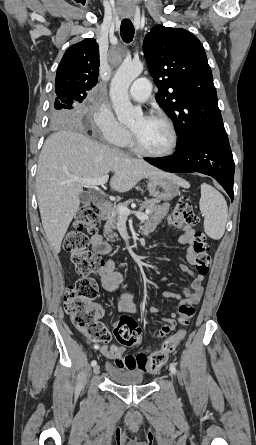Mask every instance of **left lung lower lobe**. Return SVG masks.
I'll return each mask as SVG.
<instances>
[{
	"instance_id": "obj_1",
	"label": "left lung lower lobe",
	"mask_w": 256,
	"mask_h": 445,
	"mask_svg": "<svg viewBox=\"0 0 256 445\" xmlns=\"http://www.w3.org/2000/svg\"><path fill=\"white\" fill-rule=\"evenodd\" d=\"M145 160L167 172H200L212 176L233 200L235 166L225 129L196 131L179 143L172 157Z\"/></svg>"
}]
</instances>
